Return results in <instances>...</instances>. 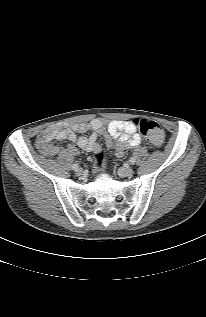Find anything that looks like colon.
Here are the masks:
<instances>
[{
	"label": "colon",
	"instance_id": "5ec220e1",
	"mask_svg": "<svg viewBox=\"0 0 206 317\" xmlns=\"http://www.w3.org/2000/svg\"><path fill=\"white\" fill-rule=\"evenodd\" d=\"M136 128L147 138L153 145H160L164 139V131L162 127L154 120L148 118H138L133 121ZM41 145V144H40ZM96 168L102 170L104 164V154L97 152L95 155Z\"/></svg>",
	"mask_w": 206,
	"mask_h": 317
}]
</instances>
